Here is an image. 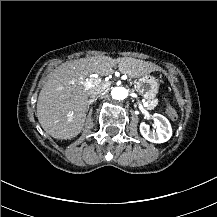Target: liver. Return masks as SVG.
<instances>
[{"mask_svg":"<svg viewBox=\"0 0 217 217\" xmlns=\"http://www.w3.org/2000/svg\"><path fill=\"white\" fill-rule=\"evenodd\" d=\"M117 64L119 71L131 78L162 70L151 62L131 57L93 56L61 65L47 75L38 97L36 115L46 133L56 139L77 136L86 118L90 89L87 78L93 73L107 76Z\"/></svg>","mask_w":217,"mask_h":217,"instance_id":"1","label":"liver"}]
</instances>
